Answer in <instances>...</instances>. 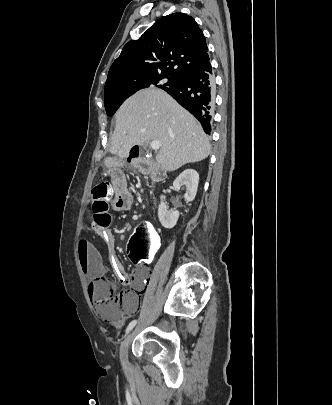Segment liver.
<instances>
[{
	"mask_svg": "<svg viewBox=\"0 0 332 405\" xmlns=\"http://www.w3.org/2000/svg\"><path fill=\"white\" fill-rule=\"evenodd\" d=\"M110 153L124 159L134 145L161 143L156 162L165 171L204 160L211 151L196 118L166 92L143 90L127 99L115 114ZM110 163L113 158H109Z\"/></svg>",
	"mask_w": 332,
	"mask_h": 405,
	"instance_id": "liver-1",
	"label": "liver"
}]
</instances>
